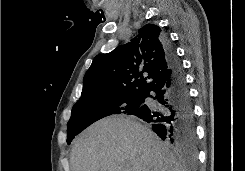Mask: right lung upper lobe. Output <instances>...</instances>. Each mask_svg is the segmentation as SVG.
<instances>
[{
    "mask_svg": "<svg viewBox=\"0 0 245 171\" xmlns=\"http://www.w3.org/2000/svg\"><path fill=\"white\" fill-rule=\"evenodd\" d=\"M164 38L157 25L147 24L131 42L97 55L84 76L78 102L116 95H142L168 76Z\"/></svg>",
    "mask_w": 245,
    "mask_h": 171,
    "instance_id": "cb5924a9",
    "label": "right lung upper lobe"
}]
</instances>
